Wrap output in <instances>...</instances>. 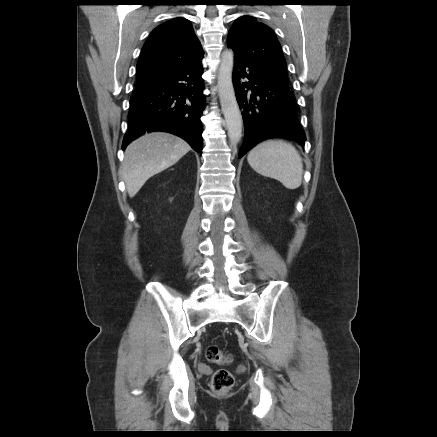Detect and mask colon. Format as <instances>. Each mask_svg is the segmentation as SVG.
<instances>
[{"mask_svg": "<svg viewBox=\"0 0 437 437\" xmlns=\"http://www.w3.org/2000/svg\"><path fill=\"white\" fill-rule=\"evenodd\" d=\"M206 359L213 364L227 365L232 361L230 354L224 353L218 346L209 345L205 351ZM235 378L227 369H218L214 372L211 387L215 393L225 394L234 386Z\"/></svg>", "mask_w": 437, "mask_h": 437, "instance_id": "5ec220e1", "label": "colon"}]
</instances>
